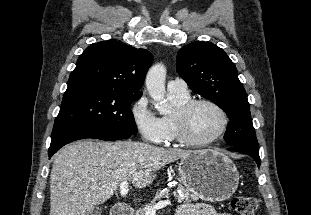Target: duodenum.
<instances>
[{"instance_id":"obj_1","label":"duodenum","mask_w":311,"mask_h":215,"mask_svg":"<svg viewBox=\"0 0 311 215\" xmlns=\"http://www.w3.org/2000/svg\"><path fill=\"white\" fill-rule=\"evenodd\" d=\"M111 215H132V210L125 204H117L113 207Z\"/></svg>"}]
</instances>
